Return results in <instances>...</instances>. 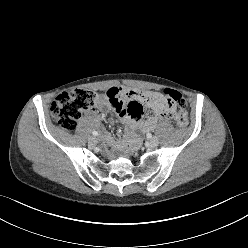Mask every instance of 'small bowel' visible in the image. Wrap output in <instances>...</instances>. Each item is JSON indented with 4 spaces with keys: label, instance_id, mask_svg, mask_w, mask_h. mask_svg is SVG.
Masks as SVG:
<instances>
[{
    "label": "small bowel",
    "instance_id": "c3829d8e",
    "mask_svg": "<svg viewBox=\"0 0 248 248\" xmlns=\"http://www.w3.org/2000/svg\"><path fill=\"white\" fill-rule=\"evenodd\" d=\"M143 106L153 111V115L145 121L141 119ZM96 107L114 110L126 124L142 131L153 129L159 121L169 119L173 115V109L164 94L125 89L122 86L109 88L107 94L98 100ZM106 140L113 143L110 136H107Z\"/></svg>",
    "mask_w": 248,
    "mask_h": 248
}]
</instances>
